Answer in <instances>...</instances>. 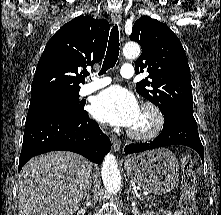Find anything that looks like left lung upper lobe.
Wrapping results in <instances>:
<instances>
[{"label":"left lung upper lobe","instance_id":"1","mask_svg":"<svg viewBox=\"0 0 221 215\" xmlns=\"http://www.w3.org/2000/svg\"><path fill=\"white\" fill-rule=\"evenodd\" d=\"M130 39L142 48L136 72L147 70L136 91L159 107L164 119L176 115L193 116L190 68L178 37L164 23L148 16L139 18Z\"/></svg>","mask_w":221,"mask_h":215}]
</instances>
